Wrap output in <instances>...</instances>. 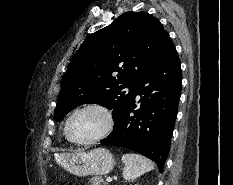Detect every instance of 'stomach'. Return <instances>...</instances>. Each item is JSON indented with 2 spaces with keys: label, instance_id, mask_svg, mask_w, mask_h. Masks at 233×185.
<instances>
[{
  "label": "stomach",
  "instance_id": "1",
  "mask_svg": "<svg viewBox=\"0 0 233 185\" xmlns=\"http://www.w3.org/2000/svg\"><path fill=\"white\" fill-rule=\"evenodd\" d=\"M55 158L62 168L76 176L107 174L115 165L114 156L105 148L76 150L57 154Z\"/></svg>",
  "mask_w": 233,
  "mask_h": 185
}]
</instances>
